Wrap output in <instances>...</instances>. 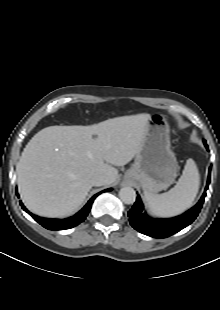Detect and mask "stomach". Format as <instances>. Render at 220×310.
Listing matches in <instances>:
<instances>
[{
  "instance_id": "1",
  "label": "stomach",
  "mask_w": 220,
  "mask_h": 310,
  "mask_svg": "<svg viewBox=\"0 0 220 310\" xmlns=\"http://www.w3.org/2000/svg\"><path fill=\"white\" fill-rule=\"evenodd\" d=\"M170 129L165 115L153 114L134 163L124 175L125 181H136L144 192L158 193L174 183L177 161L170 149Z\"/></svg>"
}]
</instances>
